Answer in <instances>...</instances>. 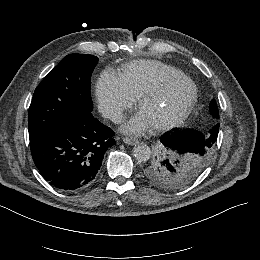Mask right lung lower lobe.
Listing matches in <instances>:
<instances>
[{
    "instance_id": "right-lung-lower-lobe-1",
    "label": "right lung lower lobe",
    "mask_w": 260,
    "mask_h": 260,
    "mask_svg": "<svg viewBox=\"0 0 260 260\" xmlns=\"http://www.w3.org/2000/svg\"><path fill=\"white\" fill-rule=\"evenodd\" d=\"M114 132L87 113L30 145L38 170L53 187L77 191L94 182Z\"/></svg>"
}]
</instances>
